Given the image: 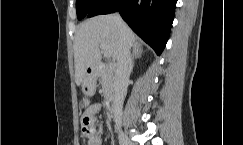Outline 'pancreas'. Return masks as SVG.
<instances>
[{
  "label": "pancreas",
  "mask_w": 243,
  "mask_h": 145,
  "mask_svg": "<svg viewBox=\"0 0 243 145\" xmlns=\"http://www.w3.org/2000/svg\"><path fill=\"white\" fill-rule=\"evenodd\" d=\"M101 85L104 96L109 95L114 89V71L112 68L106 66L101 73Z\"/></svg>",
  "instance_id": "obj_1"
}]
</instances>
